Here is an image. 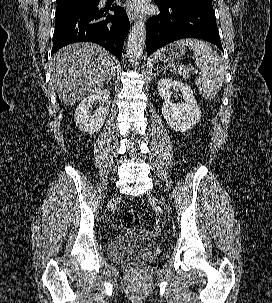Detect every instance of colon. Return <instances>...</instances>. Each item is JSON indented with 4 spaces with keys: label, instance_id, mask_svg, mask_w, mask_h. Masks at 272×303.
I'll list each match as a JSON object with an SVG mask.
<instances>
[{
    "label": "colon",
    "instance_id": "1",
    "mask_svg": "<svg viewBox=\"0 0 272 303\" xmlns=\"http://www.w3.org/2000/svg\"><path fill=\"white\" fill-rule=\"evenodd\" d=\"M121 224L125 228H137L140 224V217L134 210H126L121 215Z\"/></svg>",
    "mask_w": 272,
    "mask_h": 303
}]
</instances>
